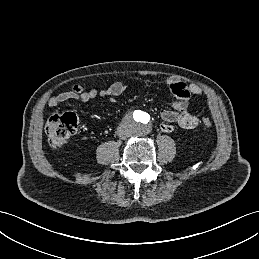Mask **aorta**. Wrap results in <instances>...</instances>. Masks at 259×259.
<instances>
[{
    "mask_svg": "<svg viewBox=\"0 0 259 259\" xmlns=\"http://www.w3.org/2000/svg\"><path fill=\"white\" fill-rule=\"evenodd\" d=\"M151 116L145 111H140V115L131 117V126L133 134L137 136L147 135L151 130Z\"/></svg>",
    "mask_w": 259,
    "mask_h": 259,
    "instance_id": "1",
    "label": "aorta"
}]
</instances>
